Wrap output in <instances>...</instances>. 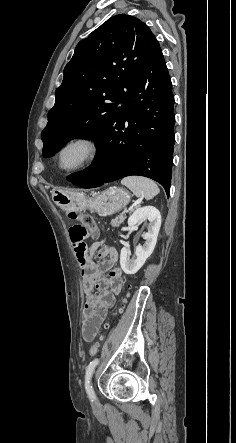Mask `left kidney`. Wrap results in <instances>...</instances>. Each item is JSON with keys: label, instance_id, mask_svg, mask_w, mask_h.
<instances>
[{"label": "left kidney", "instance_id": "1", "mask_svg": "<svg viewBox=\"0 0 236 443\" xmlns=\"http://www.w3.org/2000/svg\"><path fill=\"white\" fill-rule=\"evenodd\" d=\"M143 220H148V231L142 234L145 240L143 245H138L135 250L134 258L130 259V249L125 245L120 252V266L124 273L128 275L135 274L152 254L157 236L161 226V215L158 209L153 206L138 208L128 219L129 229H133Z\"/></svg>", "mask_w": 236, "mask_h": 443}]
</instances>
